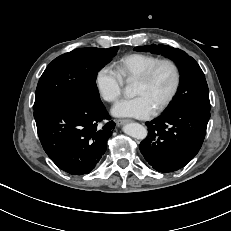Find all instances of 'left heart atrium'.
<instances>
[{
    "label": "left heart atrium",
    "instance_id": "obj_1",
    "mask_svg": "<svg viewBox=\"0 0 231 231\" xmlns=\"http://www.w3.org/2000/svg\"><path fill=\"white\" fill-rule=\"evenodd\" d=\"M112 113L118 117L145 119L151 117L155 113V107L147 97L138 95L120 100L112 108Z\"/></svg>",
    "mask_w": 231,
    "mask_h": 231
}]
</instances>
